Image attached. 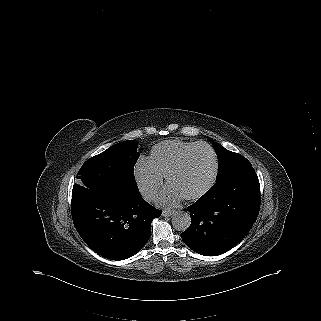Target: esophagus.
Here are the masks:
<instances>
[{
    "instance_id": "34e87169",
    "label": "esophagus",
    "mask_w": 321,
    "mask_h": 321,
    "mask_svg": "<svg viewBox=\"0 0 321 321\" xmlns=\"http://www.w3.org/2000/svg\"><path fill=\"white\" fill-rule=\"evenodd\" d=\"M174 213H175V211H172V210H164V211L162 212V215H163L164 217H169V216L173 215Z\"/></svg>"
}]
</instances>
